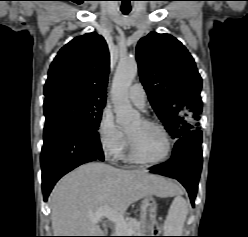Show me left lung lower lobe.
Instances as JSON below:
<instances>
[{"label": "left lung lower lobe", "instance_id": "0a47b994", "mask_svg": "<svg viewBox=\"0 0 248 237\" xmlns=\"http://www.w3.org/2000/svg\"><path fill=\"white\" fill-rule=\"evenodd\" d=\"M201 142L200 130L188 132L175 143L171 159L151 170L152 173L172 177L182 183L189 193L193 207L202 167Z\"/></svg>", "mask_w": 248, "mask_h": 237}]
</instances>
